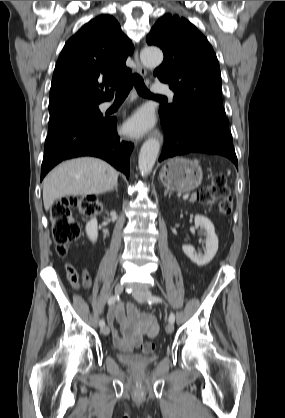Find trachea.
I'll return each mask as SVG.
<instances>
[{
  "label": "trachea",
  "mask_w": 285,
  "mask_h": 418,
  "mask_svg": "<svg viewBox=\"0 0 285 418\" xmlns=\"http://www.w3.org/2000/svg\"><path fill=\"white\" fill-rule=\"evenodd\" d=\"M135 86L138 94L144 97L164 98L163 96L153 95L145 86L144 80L138 74H133L121 83H114L112 87L116 89V98H126L131 88Z\"/></svg>",
  "instance_id": "3493384b"
}]
</instances>
